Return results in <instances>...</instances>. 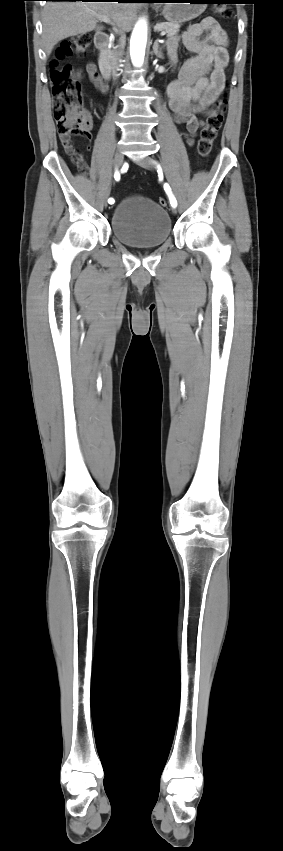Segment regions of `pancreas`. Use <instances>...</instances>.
I'll use <instances>...</instances> for the list:
<instances>
[{
  "label": "pancreas",
  "mask_w": 283,
  "mask_h": 851,
  "mask_svg": "<svg viewBox=\"0 0 283 851\" xmlns=\"http://www.w3.org/2000/svg\"><path fill=\"white\" fill-rule=\"evenodd\" d=\"M154 29L157 30V31H165L168 36H173V35H176L179 32L180 24L179 23H171V22H162V23L156 24ZM113 54H114L113 51H109V53H108L109 56H111Z\"/></svg>",
  "instance_id": "pancreas-1"
}]
</instances>
